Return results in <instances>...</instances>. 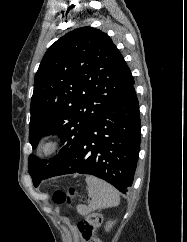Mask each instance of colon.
<instances>
[{
	"mask_svg": "<svg viewBox=\"0 0 187 242\" xmlns=\"http://www.w3.org/2000/svg\"><path fill=\"white\" fill-rule=\"evenodd\" d=\"M76 195L74 188L58 189L53 193V201L57 204L72 202ZM102 222V216L97 213L87 215L77 223L80 238L83 242H100L95 238V232Z\"/></svg>",
	"mask_w": 187,
	"mask_h": 242,
	"instance_id": "5ec220e1",
	"label": "colon"
}]
</instances>
